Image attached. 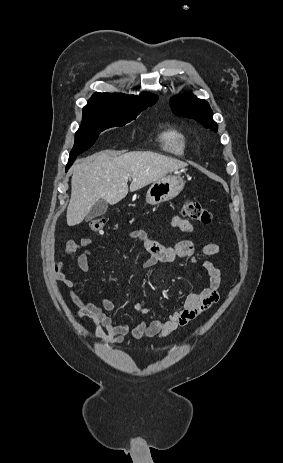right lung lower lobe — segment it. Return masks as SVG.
I'll use <instances>...</instances> for the list:
<instances>
[{
	"instance_id": "right-lung-lower-lobe-1",
	"label": "right lung lower lobe",
	"mask_w": 283,
	"mask_h": 463,
	"mask_svg": "<svg viewBox=\"0 0 283 463\" xmlns=\"http://www.w3.org/2000/svg\"><path fill=\"white\" fill-rule=\"evenodd\" d=\"M77 156H74V157H69V162L66 166V171L70 168V166L72 165V163L74 162V160L76 159Z\"/></svg>"
}]
</instances>
